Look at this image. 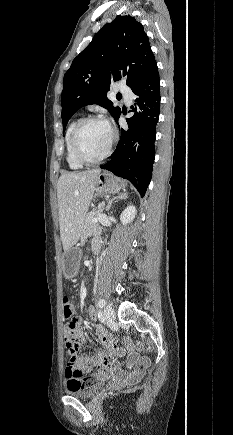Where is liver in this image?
I'll list each match as a JSON object with an SVG mask.
<instances>
[{"label": "liver", "mask_w": 233, "mask_h": 435, "mask_svg": "<svg viewBox=\"0 0 233 435\" xmlns=\"http://www.w3.org/2000/svg\"><path fill=\"white\" fill-rule=\"evenodd\" d=\"M100 169L62 174L57 182L58 215L63 249L75 245L82 233Z\"/></svg>", "instance_id": "obj_1"}]
</instances>
